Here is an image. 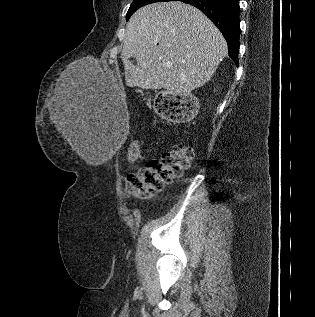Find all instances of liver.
<instances>
[{"label":"liver","mask_w":315,"mask_h":317,"mask_svg":"<svg viewBox=\"0 0 315 317\" xmlns=\"http://www.w3.org/2000/svg\"><path fill=\"white\" fill-rule=\"evenodd\" d=\"M227 54L217 27L197 8L174 1L147 5L132 15L121 59L127 86L164 88L182 96L207 83ZM50 119L85 158L83 121L71 88L60 85L55 89Z\"/></svg>","instance_id":"liver-1"}]
</instances>
